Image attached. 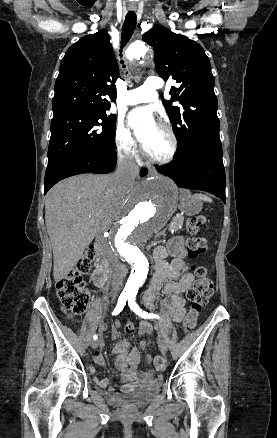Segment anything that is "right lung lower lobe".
<instances>
[{"mask_svg":"<svg viewBox=\"0 0 277 438\" xmlns=\"http://www.w3.org/2000/svg\"><path fill=\"white\" fill-rule=\"evenodd\" d=\"M114 150H98L71 155L48 165L45 174L44 194L58 181L73 175L82 173H109L117 163V156ZM146 172V170H143L141 175H145Z\"/></svg>","mask_w":277,"mask_h":438,"instance_id":"obj_1","label":"right lung lower lobe"}]
</instances>
